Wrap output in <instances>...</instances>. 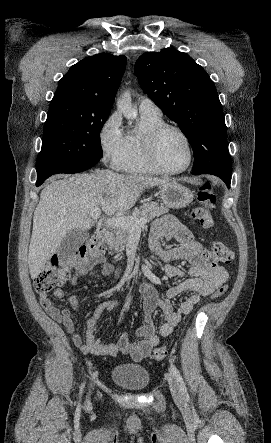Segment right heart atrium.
Here are the masks:
<instances>
[{"label": "right heart atrium", "mask_w": 271, "mask_h": 443, "mask_svg": "<svg viewBox=\"0 0 271 443\" xmlns=\"http://www.w3.org/2000/svg\"><path fill=\"white\" fill-rule=\"evenodd\" d=\"M98 142L103 157L115 166H119L125 152V135L118 111H113L101 123Z\"/></svg>", "instance_id": "d8ad5b80"}]
</instances>
